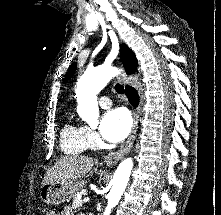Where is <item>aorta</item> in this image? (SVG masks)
I'll return each instance as SVG.
<instances>
[{"label":"aorta","instance_id":"aorta-1","mask_svg":"<svg viewBox=\"0 0 221 215\" xmlns=\"http://www.w3.org/2000/svg\"><path fill=\"white\" fill-rule=\"evenodd\" d=\"M119 70L107 66H98L81 76L77 82V113L88 124L95 125L99 117L97 94L107 85V83L117 74ZM133 168L131 158L124 159L117 167L111 180L112 188L108 194V204L103 215H110L115 207L129 180Z\"/></svg>","mask_w":221,"mask_h":215}]
</instances>
